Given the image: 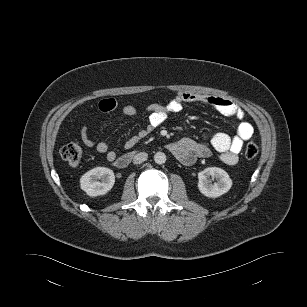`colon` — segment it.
<instances>
[{"label": "colon", "mask_w": 307, "mask_h": 307, "mask_svg": "<svg viewBox=\"0 0 307 307\" xmlns=\"http://www.w3.org/2000/svg\"><path fill=\"white\" fill-rule=\"evenodd\" d=\"M259 148L254 142H250L245 147V156L248 159H253L258 155ZM60 155L63 160L69 164H78L82 157V149L76 143H69L63 146L60 150Z\"/></svg>", "instance_id": "colon-1"}]
</instances>
